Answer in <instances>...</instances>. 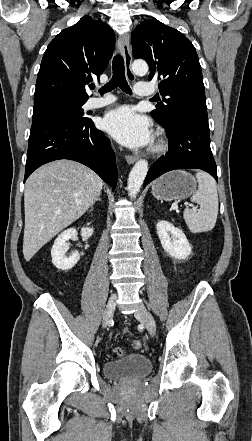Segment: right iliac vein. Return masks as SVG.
Here are the masks:
<instances>
[{
  "mask_svg": "<svg viewBox=\"0 0 252 441\" xmlns=\"http://www.w3.org/2000/svg\"><path fill=\"white\" fill-rule=\"evenodd\" d=\"M116 300H117V295H116V293H113L110 296L108 303H107V306H106V309H105V313H104L103 321H102L103 328H106V326L108 325V323L110 321V318L114 314Z\"/></svg>",
  "mask_w": 252,
  "mask_h": 441,
  "instance_id": "63e3f726",
  "label": "right iliac vein"
}]
</instances>
